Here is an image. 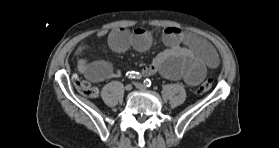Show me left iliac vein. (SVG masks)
<instances>
[{
	"instance_id": "1",
	"label": "left iliac vein",
	"mask_w": 279,
	"mask_h": 148,
	"mask_svg": "<svg viewBox=\"0 0 279 148\" xmlns=\"http://www.w3.org/2000/svg\"><path fill=\"white\" fill-rule=\"evenodd\" d=\"M134 85L139 90H142V91L147 90L146 86L144 84H142V83L136 82Z\"/></svg>"
}]
</instances>
